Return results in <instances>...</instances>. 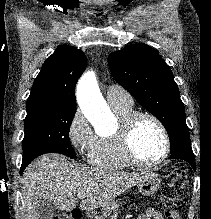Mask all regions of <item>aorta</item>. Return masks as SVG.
Returning <instances> with one entry per match:
<instances>
[{
	"mask_svg": "<svg viewBox=\"0 0 211 219\" xmlns=\"http://www.w3.org/2000/svg\"><path fill=\"white\" fill-rule=\"evenodd\" d=\"M77 101L84 116L96 126L107 121L111 112L103 99L94 72L85 73L80 79L77 87Z\"/></svg>",
	"mask_w": 211,
	"mask_h": 219,
	"instance_id": "obj_1",
	"label": "aorta"
}]
</instances>
